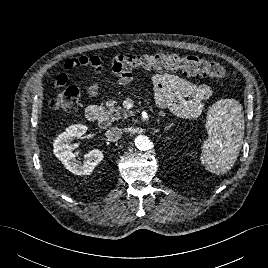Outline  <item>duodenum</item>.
Segmentation results:
<instances>
[{"mask_svg": "<svg viewBox=\"0 0 268 268\" xmlns=\"http://www.w3.org/2000/svg\"><path fill=\"white\" fill-rule=\"evenodd\" d=\"M86 115L90 120H98L102 127H108L111 120L109 114L97 106H89L86 110Z\"/></svg>", "mask_w": 268, "mask_h": 268, "instance_id": "410a0bca", "label": "duodenum"}]
</instances>
